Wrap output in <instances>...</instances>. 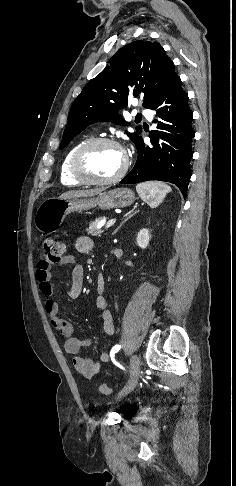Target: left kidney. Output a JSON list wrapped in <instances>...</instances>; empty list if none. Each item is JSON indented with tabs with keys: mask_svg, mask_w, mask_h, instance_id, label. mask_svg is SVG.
<instances>
[{
	"mask_svg": "<svg viewBox=\"0 0 236 486\" xmlns=\"http://www.w3.org/2000/svg\"><path fill=\"white\" fill-rule=\"evenodd\" d=\"M150 234H149V230L148 229H141L137 235V245L142 248V249H145L148 244H149V241H150Z\"/></svg>",
	"mask_w": 236,
	"mask_h": 486,
	"instance_id": "left-kidney-1",
	"label": "left kidney"
}]
</instances>
